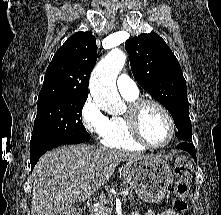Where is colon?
<instances>
[{
  "label": "colon",
  "instance_id": "1",
  "mask_svg": "<svg viewBox=\"0 0 221 215\" xmlns=\"http://www.w3.org/2000/svg\"><path fill=\"white\" fill-rule=\"evenodd\" d=\"M175 174V202L174 208L179 213L188 211L187 197L190 192L193 177L192 163L187 156L180 154L174 168Z\"/></svg>",
  "mask_w": 221,
  "mask_h": 215
}]
</instances>
